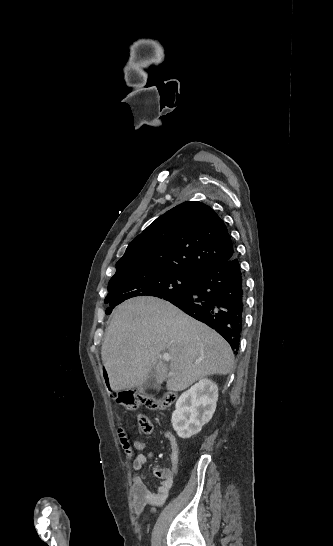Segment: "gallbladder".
<instances>
[{
	"mask_svg": "<svg viewBox=\"0 0 333 546\" xmlns=\"http://www.w3.org/2000/svg\"><path fill=\"white\" fill-rule=\"evenodd\" d=\"M160 385L157 383L153 374H149L147 380L138 387V391L142 394H150L159 391Z\"/></svg>",
	"mask_w": 333,
	"mask_h": 546,
	"instance_id": "obj_1",
	"label": "gallbladder"
}]
</instances>
